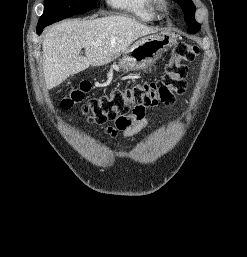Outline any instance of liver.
<instances>
[{"instance_id":"obj_1","label":"liver","mask_w":247,"mask_h":257,"mask_svg":"<svg viewBox=\"0 0 247 257\" xmlns=\"http://www.w3.org/2000/svg\"><path fill=\"white\" fill-rule=\"evenodd\" d=\"M155 32V29L121 15L55 24L42 43L47 89L60 85L89 66L112 62L135 40ZM82 48L85 56L80 55Z\"/></svg>"}]
</instances>
